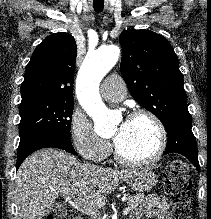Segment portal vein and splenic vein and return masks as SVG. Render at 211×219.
<instances>
[{"label": "portal vein and splenic vein", "instance_id": "portal-vein-and-splenic-vein-1", "mask_svg": "<svg viewBox=\"0 0 211 219\" xmlns=\"http://www.w3.org/2000/svg\"><path fill=\"white\" fill-rule=\"evenodd\" d=\"M67 201L69 202V204L71 206H73L74 208H76L77 210L81 211V212H84L86 214H91V215H96V212L93 210V209H89V208H86L85 206H83L80 202H78L76 200V198H67ZM130 207H126L124 210H123V215H127L129 212H130ZM100 219V218H99Z\"/></svg>", "mask_w": 211, "mask_h": 219}]
</instances>
